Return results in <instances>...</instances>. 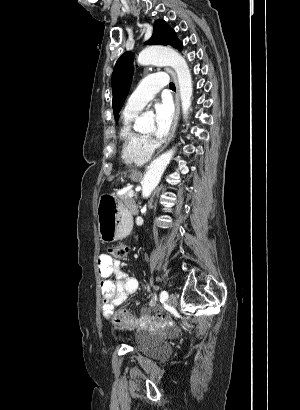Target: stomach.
Here are the masks:
<instances>
[{
  "instance_id": "obj_1",
  "label": "stomach",
  "mask_w": 300,
  "mask_h": 410,
  "mask_svg": "<svg viewBox=\"0 0 300 410\" xmlns=\"http://www.w3.org/2000/svg\"><path fill=\"white\" fill-rule=\"evenodd\" d=\"M133 180H138L135 174ZM98 231L103 242H114L128 235L131 229V215L113 195H103L97 207Z\"/></svg>"
}]
</instances>
